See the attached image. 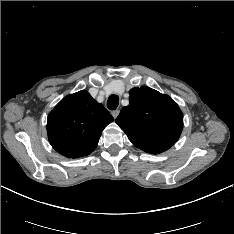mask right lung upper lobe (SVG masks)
<instances>
[{"mask_svg":"<svg viewBox=\"0 0 234 234\" xmlns=\"http://www.w3.org/2000/svg\"><path fill=\"white\" fill-rule=\"evenodd\" d=\"M105 107L82 90L64 97L47 119L52 147L67 158L89 155L96 148L103 129L113 121Z\"/></svg>","mask_w":234,"mask_h":234,"instance_id":"right-lung-upper-lobe-1","label":"right lung upper lobe"}]
</instances>
